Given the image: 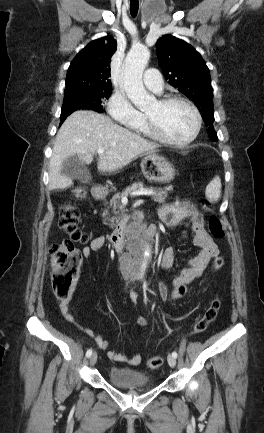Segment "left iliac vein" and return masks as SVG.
<instances>
[{
	"label": "left iliac vein",
	"mask_w": 264,
	"mask_h": 433,
	"mask_svg": "<svg viewBox=\"0 0 264 433\" xmlns=\"http://www.w3.org/2000/svg\"><path fill=\"white\" fill-rule=\"evenodd\" d=\"M167 361H168V364L173 368V367H175L176 366V358H174L172 355H168V357H167Z\"/></svg>",
	"instance_id": "4c4485c4"
}]
</instances>
